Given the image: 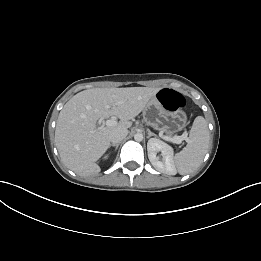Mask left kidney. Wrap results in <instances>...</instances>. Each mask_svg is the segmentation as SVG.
<instances>
[{"mask_svg":"<svg viewBox=\"0 0 261 261\" xmlns=\"http://www.w3.org/2000/svg\"><path fill=\"white\" fill-rule=\"evenodd\" d=\"M147 151L148 158L155 169L169 175H174L176 173L172 147L159 139L151 138L147 143ZM158 152H161L163 157L162 161L157 157Z\"/></svg>","mask_w":261,"mask_h":261,"instance_id":"left-kidney-1","label":"left kidney"}]
</instances>
